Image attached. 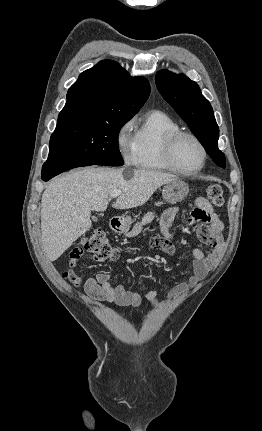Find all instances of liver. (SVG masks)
Listing matches in <instances>:
<instances>
[{"mask_svg":"<svg viewBox=\"0 0 262 431\" xmlns=\"http://www.w3.org/2000/svg\"><path fill=\"white\" fill-rule=\"evenodd\" d=\"M123 172L124 168L86 167L50 182L41 200V242L50 261L90 229L91 211H105L114 190L122 191L114 207L129 209L145 204L158 188L177 179L145 169H134L127 179Z\"/></svg>","mask_w":262,"mask_h":431,"instance_id":"6515ba94","label":"liver"}]
</instances>
